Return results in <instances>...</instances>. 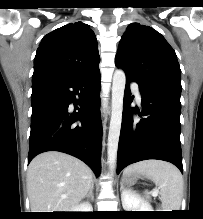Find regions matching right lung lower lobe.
<instances>
[{
  "label": "right lung lower lobe",
  "instance_id": "obj_1",
  "mask_svg": "<svg viewBox=\"0 0 203 219\" xmlns=\"http://www.w3.org/2000/svg\"><path fill=\"white\" fill-rule=\"evenodd\" d=\"M100 88L99 70L33 81L28 163L42 152L56 150L81 159L99 176Z\"/></svg>",
  "mask_w": 203,
  "mask_h": 219
}]
</instances>
